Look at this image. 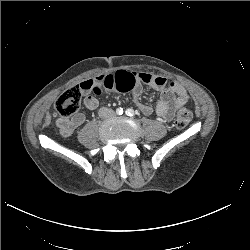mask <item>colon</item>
Masks as SVG:
<instances>
[{
  "label": "colon",
  "mask_w": 250,
  "mask_h": 250,
  "mask_svg": "<svg viewBox=\"0 0 250 250\" xmlns=\"http://www.w3.org/2000/svg\"><path fill=\"white\" fill-rule=\"evenodd\" d=\"M93 93L101 94L98 88L93 89ZM82 91L80 86H73L61 93L54 103L55 112L61 117L74 115L80 106ZM193 113L188 108H180L175 116L174 125L177 129H184L192 121Z\"/></svg>",
  "instance_id": "5ec220e1"
}]
</instances>
